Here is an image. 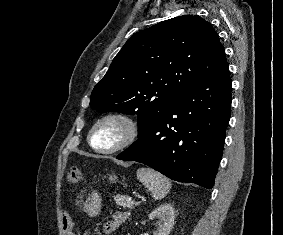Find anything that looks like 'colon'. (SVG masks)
Masks as SVG:
<instances>
[{"label": "colon", "mask_w": 283, "mask_h": 235, "mask_svg": "<svg viewBox=\"0 0 283 235\" xmlns=\"http://www.w3.org/2000/svg\"><path fill=\"white\" fill-rule=\"evenodd\" d=\"M83 179V175H82V172L79 168L77 167H70L68 169V173H67V180L70 182V183H79L81 182ZM67 233L69 234L70 233V230H68L67 228H65Z\"/></svg>", "instance_id": "obj_1"}]
</instances>
